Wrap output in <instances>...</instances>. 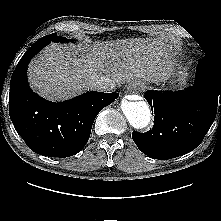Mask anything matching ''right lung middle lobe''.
Here are the masks:
<instances>
[{"instance_id": "right-lung-middle-lobe-1", "label": "right lung middle lobe", "mask_w": 221, "mask_h": 221, "mask_svg": "<svg viewBox=\"0 0 221 221\" xmlns=\"http://www.w3.org/2000/svg\"><path fill=\"white\" fill-rule=\"evenodd\" d=\"M44 38H48L53 42H68L66 38L58 37L56 33L45 36Z\"/></svg>"}]
</instances>
